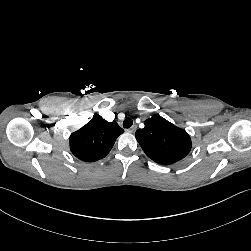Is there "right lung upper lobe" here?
Segmentation results:
<instances>
[{
	"label": "right lung upper lobe",
	"mask_w": 251,
	"mask_h": 251,
	"mask_svg": "<svg viewBox=\"0 0 251 251\" xmlns=\"http://www.w3.org/2000/svg\"><path fill=\"white\" fill-rule=\"evenodd\" d=\"M123 132L115 121L107 122L95 114L86 125L71 134L70 150L82 161H97L110 152Z\"/></svg>",
	"instance_id": "1"
}]
</instances>
